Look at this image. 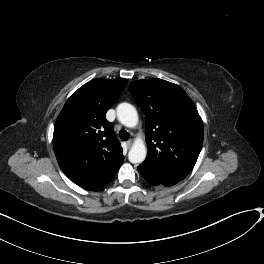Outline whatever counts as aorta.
<instances>
[{
  "label": "aorta",
  "mask_w": 264,
  "mask_h": 264,
  "mask_svg": "<svg viewBox=\"0 0 264 264\" xmlns=\"http://www.w3.org/2000/svg\"><path fill=\"white\" fill-rule=\"evenodd\" d=\"M117 118L126 127H135L138 122V113L129 103H120L117 106ZM147 155L146 146L142 141H136L128 153L131 163H142Z\"/></svg>",
  "instance_id": "1"
}]
</instances>
